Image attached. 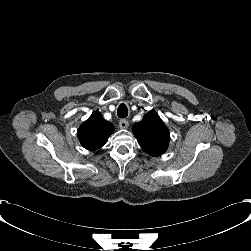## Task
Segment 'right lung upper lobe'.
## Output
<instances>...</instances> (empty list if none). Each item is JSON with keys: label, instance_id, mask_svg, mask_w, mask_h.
I'll list each match as a JSON object with an SVG mask.
<instances>
[{"label": "right lung upper lobe", "instance_id": "right-lung-upper-lobe-1", "mask_svg": "<svg viewBox=\"0 0 251 251\" xmlns=\"http://www.w3.org/2000/svg\"><path fill=\"white\" fill-rule=\"evenodd\" d=\"M114 132V126L106 121L99 111H94L91 116L80 125L78 138L81 145L88 150L101 148Z\"/></svg>", "mask_w": 251, "mask_h": 251}]
</instances>
